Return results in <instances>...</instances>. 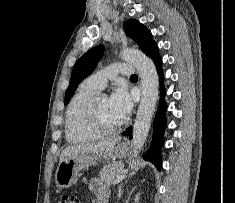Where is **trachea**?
Segmentation results:
<instances>
[{
	"label": "trachea",
	"instance_id": "1",
	"mask_svg": "<svg viewBox=\"0 0 235 203\" xmlns=\"http://www.w3.org/2000/svg\"><path fill=\"white\" fill-rule=\"evenodd\" d=\"M131 77H132V78H133V77H137V75L134 74V75H131Z\"/></svg>",
	"mask_w": 235,
	"mask_h": 203
}]
</instances>
